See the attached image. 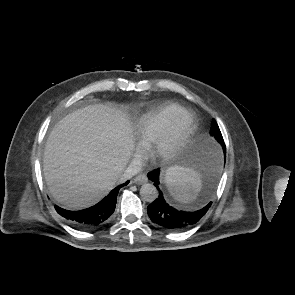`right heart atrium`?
I'll return each mask as SVG.
<instances>
[{"mask_svg": "<svg viewBox=\"0 0 295 295\" xmlns=\"http://www.w3.org/2000/svg\"><path fill=\"white\" fill-rule=\"evenodd\" d=\"M141 156H142V150L141 148H138L135 152V160H140Z\"/></svg>", "mask_w": 295, "mask_h": 295, "instance_id": "d8ad5b80", "label": "right heart atrium"}]
</instances>
